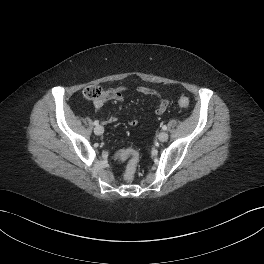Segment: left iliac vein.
I'll use <instances>...</instances> for the list:
<instances>
[{"mask_svg": "<svg viewBox=\"0 0 264 264\" xmlns=\"http://www.w3.org/2000/svg\"><path fill=\"white\" fill-rule=\"evenodd\" d=\"M168 133L167 132H160L159 134H158V139H159V141H161V142H165V141H167L168 140Z\"/></svg>", "mask_w": 264, "mask_h": 264, "instance_id": "1", "label": "left iliac vein"}]
</instances>
